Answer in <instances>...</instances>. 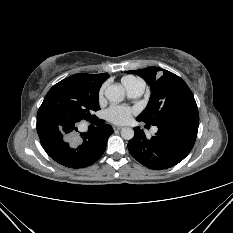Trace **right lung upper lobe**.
<instances>
[{
  "mask_svg": "<svg viewBox=\"0 0 233 233\" xmlns=\"http://www.w3.org/2000/svg\"><path fill=\"white\" fill-rule=\"evenodd\" d=\"M78 75L90 80L91 82L95 83L96 85L100 87H101V84L109 77L108 73L97 74V75L80 73Z\"/></svg>",
  "mask_w": 233,
  "mask_h": 233,
  "instance_id": "cb5924a9",
  "label": "right lung upper lobe"
}]
</instances>
